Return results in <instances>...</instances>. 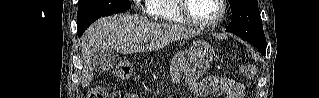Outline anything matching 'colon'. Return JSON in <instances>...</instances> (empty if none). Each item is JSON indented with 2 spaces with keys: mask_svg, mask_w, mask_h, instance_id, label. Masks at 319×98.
<instances>
[{
  "mask_svg": "<svg viewBox=\"0 0 319 98\" xmlns=\"http://www.w3.org/2000/svg\"><path fill=\"white\" fill-rule=\"evenodd\" d=\"M115 76L120 80H126L129 78L131 74V67L127 63H120L117 65L115 72ZM114 98H127L128 96L121 92H115L113 94ZM87 98H108V93L105 88L101 86H96L87 94Z\"/></svg>",
  "mask_w": 319,
  "mask_h": 98,
  "instance_id": "obj_1",
  "label": "colon"
}]
</instances>
